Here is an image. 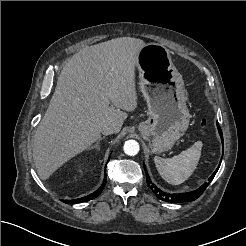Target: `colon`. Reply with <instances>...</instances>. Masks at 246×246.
Masks as SVG:
<instances>
[{
	"label": "colon",
	"instance_id": "5ec220e1",
	"mask_svg": "<svg viewBox=\"0 0 246 246\" xmlns=\"http://www.w3.org/2000/svg\"><path fill=\"white\" fill-rule=\"evenodd\" d=\"M201 125L203 128H205L207 126V120L206 119L202 120Z\"/></svg>",
	"mask_w": 246,
	"mask_h": 246
}]
</instances>
